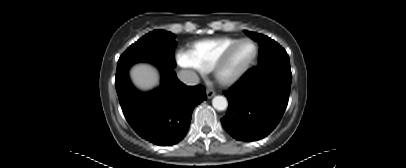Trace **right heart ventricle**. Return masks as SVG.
<instances>
[{
	"label": "right heart ventricle",
	"instance_id": "e07e8e85",
	"mask_svg": "<svg viewBox=\"0 0 406 168\" xmlns=\"http://www.w3.org/2000/svg\"><path fill=\"white\" fill-rule=\"evenodd\" d=\"M237 38L215 37L195 41L185 51L192 64L203 72L211 71L220 55L232 45Z\"/></svg>",
	"mask_w": 406,
	"mask_h": 168
}]
</instances>
